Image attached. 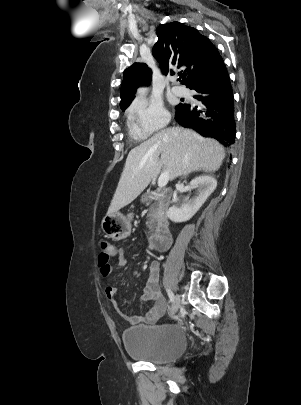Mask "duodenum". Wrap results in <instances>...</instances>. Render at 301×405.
<instances>
[{"label": "duodenum", "instance_id": "410a0bca", "mask_svg": "<svg viewBox=\"0 0 301 405\" xmlns=\"http://www.w3.org/2000/svg\"><path fill=\"white\" fill-rule=\"evenodd\" d=\"M154 196L159 204V218L156 229L150 237V244L157 251H165L168 249L171 241L167 213L172 201L173 192L169 188H163L155 191Z\"/></svg>", "mask_w": 301, "mask_h": 405}]
</instances>
